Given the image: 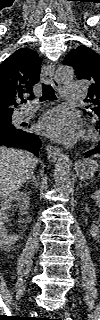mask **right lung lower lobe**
I'll return each instance as SVG.
<instances>
[{
  "instance_id": "obj_1",
  "label": "right lung lower lobe",
  "mask_w": 100,
  "mask_h": 320,
  "mask_svg": "<svg viewBox=\"0 0 100 320\" xmlns=\"http://www.w3.org/2000/svg\"><path fill=\"white\" fill-rule=\"evenodd\" d=\"M0 146L23 148L38 156L41 140L26 127L21 132H0Z\"/></svg>"
}]
</instances>
